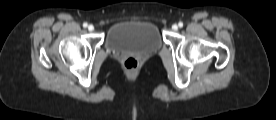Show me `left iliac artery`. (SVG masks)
<instances>
[{"label":"left iliac artery","instance_id":"44dca946","mask_svg":"<svg viewBox=\"0 0 276 120\" xmlns=\"http://www.w3.org/2000/svg\"><path fill=\"white\" fill-rule=\"evenodd\" d=\"M178 26H179V27H183V23H182V22H179V23H178Z\"/></svg>","mask_w":276,"mask_h":120}]
</instances>
